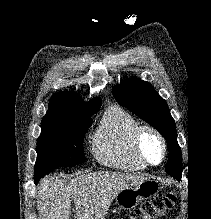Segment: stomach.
Segmentation results:
<instances>
[{
    "label": "stomach",
    "mask_w": 211,
    "mask_h": 219,
    "mask_svg": "<svg viewBox=\"0 0 211 219\" xmlns=\"http://www.w3.org/2000/svg\"><path fill=\"white\" fill-rule=\"evenodd\" d=\"M160 189V185L154 180H145L139 185L123 189L115 197V204L120 209H133L139 201L149 198L156 194Z\"/></svg>",
    "instance_id": "stomach-1"
}]
</instances>
